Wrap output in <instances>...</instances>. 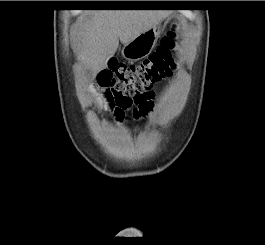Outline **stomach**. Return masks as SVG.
<instances>
[{"mask_svg": "<svg viewBox=\"0 0 265 245\" xmlns=\"http://www.w3.org/2000/svg\"><path fill=\"white\" fill-rule=\"evenodd\" d=\"M161 24L158 23L150 29L139 34L122 48V56L129 61H137L148 56L155 47L160 36Z\"/></svg>", "mask_w": 265, "mask_h": 245, "instance_id": "obj_1", "label": "stomach"}]
</instances>
